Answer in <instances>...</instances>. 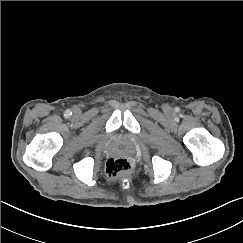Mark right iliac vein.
Listing matches in <instances>:
<instances>
[{"instance_id": "right-iliac-vein-1", "label": "right iliac vein", "mask_w": 243, "mask_h": 243, "mask_svg": "<svg viewBox=\"0 0 243 243\" xmlns=\"http://www.w3.org/2000/svg\"><path fill=\"white\" fill-rule=\"evenodd\" d=\"M74 112H75V113H77V112H78V110H77V109H74Z\"/></svg>"}]
</instances>
